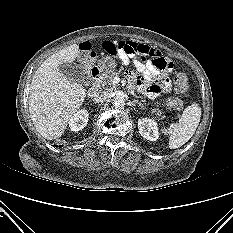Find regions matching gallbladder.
I'll return each instance as SVG.
<instances>
[{
	"label": "gallbladder",
	"mask_w": 233,
	"mask_h": 233,
	"mask_svg": "<svg viewBox=\"0 0 233 233\" xmlns=\"http://www.w3.org/2000/svg\"><path fill=\"white\" fill-rule=\"evenodd\" d=\"M59 70L67 79L77 83H84L88 79L86 69L74 62L61 64Z\"/></svg>",
	"instance_id": "obj_1"
}]
</instances>
